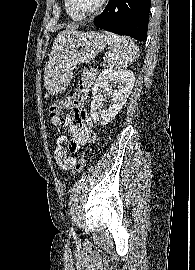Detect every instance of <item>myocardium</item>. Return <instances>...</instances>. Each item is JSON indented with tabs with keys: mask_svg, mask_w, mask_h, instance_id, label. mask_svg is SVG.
<instances>
[{
	"mask_svg": "<svg viewBox=\"0 0 195 270\" xmlns=\"http://www.w3.org/2000/svg\"><path fill=\"white\" fill-rule=\"evenodd\" d=\"M106 2H107V0H100L98 5L92 11H90L86 14H79L74 10L72 3H71V0H66V4H67V7H68V10L70 11V13H72L76 18H78L80 20L88 19V18H91V17L95 16L96 14H98L103 9Z\"/></svg>",
	"mask_w": 195,
	"mask_h": 270,
	"instance_id": "1",
	"label": "myocardium"
}]
</instances>
